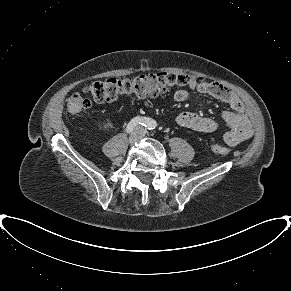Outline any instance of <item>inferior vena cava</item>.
<instances>
[{
  "label": "inferior vena cava",
  "instance_id": "inferior-vena-cava-1",
  "mask_svg": "<svg viewBox=\"0 0 291 291\" xmlns=\"http://www.w3.org/2000/svg\"><path fill=\"white\" fill-rule=\"evenodd\" d=\"M144 135V133L143 132H141V137Z\"/></svg>",
  "mask_w": 291,
  "mask_h": 291
}]
</instances>
